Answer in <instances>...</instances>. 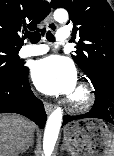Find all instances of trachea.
I'll return each mask as SVG.
<instances>
[{
  "label": "trachea",
  "mask_w": 114,
  "mask_h": 156,
  "mask_svg": "<svg viewBox=\"0 0 114 156\" xmlns=\"http://www.w3.org/2000/svg\"><path fill=\"white\" fill-rule=\"evenodd\" d=\"M26 36L30 39L32 44L38 43L41 38V35L38 32H29L26 34ZM46 38L50 42L55 41V37L50 31L47 32Z\"/></svg>",
  "instance_id": "obj_1"
}]
</instances>
